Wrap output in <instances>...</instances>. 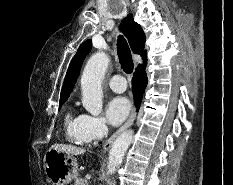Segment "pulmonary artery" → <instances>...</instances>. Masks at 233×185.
<instances>
[{"instance_id":"obj_1","label":"pulmonary artery","mask_w":233,"mask_h":185,"mask_svg":"<svg viewBox=\"0 0 233 185\" xmlns=\"http://www.w3.org/2000/svg\"><path fill=\"white\" fill-rule=\"evenodd\" d=\"M108 84L110 86V88L115 91V92H124L126 90V81L124 79V77H122L121 75H114L112 76L109 81Z\"/></svg>"}]
</instances>
